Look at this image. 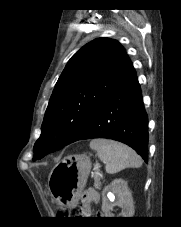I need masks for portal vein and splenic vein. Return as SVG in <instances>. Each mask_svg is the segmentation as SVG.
Returning <instances> with one entry per match:
<instances>
[{
    "mask_svg": "<svg viewBox=\"0 0 181 227\" xmlns=\"http://www.w3.org/2000/svg\"><path fill=\"white\" fill-rule=\"evenodd\" d=\"M98 174H99V172H98V171H96V172H95V175H98Z\"/></svg>",
    "mask_w": 181,
    "mask_h": 227,
    "instance_id": "18ae733b",
    "label": "portal vein and splenic vein"
}]
</instances>
